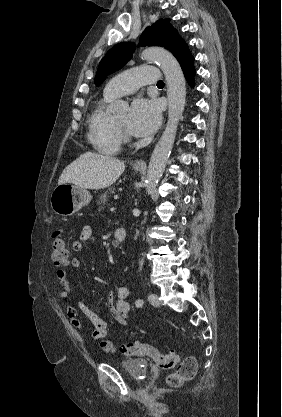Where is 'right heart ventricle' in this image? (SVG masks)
Returning a JSON list of instances; mask_svg holds the SVG:
<instances>
[{
  "label": "right heart ventricle",
  "instance_id": "obj_1",
  "mask_svg": "<svg viewBox=\"0 0 282 417\" xmlns=\"http://www.w3.org/2000/svg\"><path fill=\"white\" fill-rule=\"evenodd\" d=\"M111 98L104 97L89 117V141L100 151L112 153L118 150L121 138L112 126V116L108 111Z\"/></svg>",
  "mask_w": 282,
  "mask_h": 417
}]
</instances>
